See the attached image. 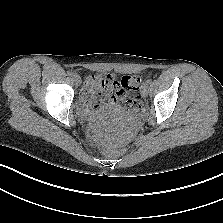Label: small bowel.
<instances>
[{"label": "small bowel", "instance_id": "small-bowel-1", "mask_svg": "<svg viewBox=\"0 0 223 223\" xmlns=\"http://www.w3.org/2000/svg\"><path fill=\"white\" fill-rule=\"evenodd\" d=\"M116 77L113 74H92L85 83L81 98L87 107L99 109L102 106H118L120 96L116 94L113 83Z\"/></svg>", "mask_w": 223, "mask_h": 223}]
</instances>
